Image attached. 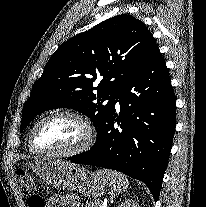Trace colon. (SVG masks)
Listing matches in <instances>:
<instances>
[{
  "mask_svg": "<svg viewBox=\"0 0 206 207\" xmlns=\"http://www.w3.org/2000/svg\"><path fill=\"white\" fill-rule=\"evenodd\" d=\"M16 178L22 191L29 195V207H46L45 201L34 193L36 181L32 174L24 169H18Z\"/></svg>",
  "mask_w": 206,
  "mask_h": 207,
  "instance_id": "colon-1",
  "label": "colon"
}]
</instances>
